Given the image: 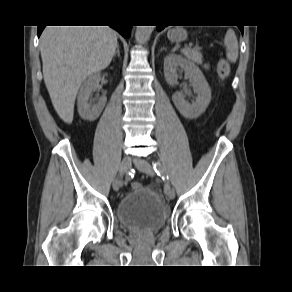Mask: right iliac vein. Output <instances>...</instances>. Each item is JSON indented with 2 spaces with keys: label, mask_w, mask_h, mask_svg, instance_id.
Returning <instances> with one entry per match:
<instances>
[{
  "label": "right iliac vein",
  "mask_w": 292,
  "mask_h": 292,
  "mask_svg": "<svg viewBox=\"0 0 292 292\" xmlns=\"http://www.w3.org/2000/svg\"><path fill=\"white\" fill-rule=\"evenodd\" d=\"M131 168V158L129 156H125L120 164L119 168V177H117L113 182V189L115 191L119 190V188L122 186V182H120L121 176L127 173ZM117 179H119V182H117Z\"/></svg>",
  "instance_id": "right-iliac-vein-1"
}]
</instances>
